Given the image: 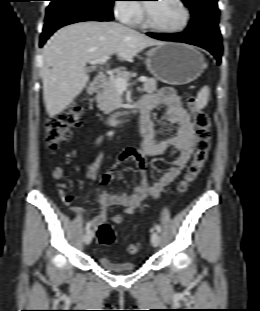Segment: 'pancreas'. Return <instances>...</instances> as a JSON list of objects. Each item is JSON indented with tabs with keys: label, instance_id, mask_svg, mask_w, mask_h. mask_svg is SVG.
<instances>
[{
	"label": "pancreas",
	"instance_id": "cf45deb5",
	"mask_svg": "<svg viewBox=\"0 0 260 311\" xmlns=\"http://www.w3.org/2000/svg\"><path fill=\"white\" fill-rule=\"evenodd\" d=\"M130 73L121 71L116 77H110L102 84V90L97 97V107L105 114H109L121 107L122 99L119 90L116 87L115 80L122 78L126 81L129 80ZM143 90L147 93H153L157 90V82L155 79H147L143 84Z\"/></svg>",
	"mask_w": 260,
	"mask_h": 311
}]
</instances>
